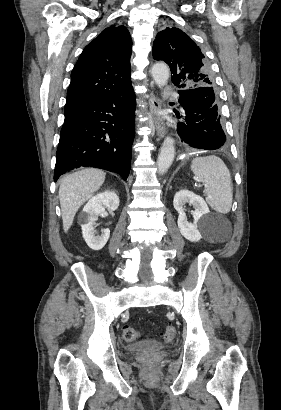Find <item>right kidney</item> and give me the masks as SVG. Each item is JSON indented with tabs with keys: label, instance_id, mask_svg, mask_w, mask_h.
<instances>
[{
	"label": "right kidney",
	"instance_id": "obj_1",
	"mask_svg": "<svg viewBox=\"0 0 281 410\" xmlns=\"http://www.w3.org/2000/svg\"><path fill=\"white\" fill-rule=\"evenodd\" d=\"M119 202V197L114 191H105L93 196L84 206L78 220L81 224L83 238L91 249L101 250L110 236L108 228L103 229L101 235H95L98 216L105 211V208L115 211L119 207Z\"/></svg>",
	"mask_w": 281,
	"mask_h": 410
}]
</instances>
